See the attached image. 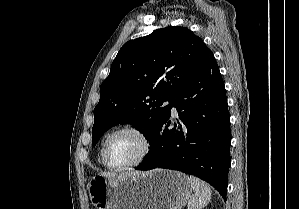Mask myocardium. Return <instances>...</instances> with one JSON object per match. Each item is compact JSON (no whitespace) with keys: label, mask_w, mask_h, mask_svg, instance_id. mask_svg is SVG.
I'll list each match as a JSON object with an SVG mask.
<instances>
[{"label":"myocardium","mask_w":299,"mask_h":209,"mask_svg":"<svg viewBox=\"0 0 299 209\" xmlns=\"http://www.w3.org/2000/svg\"><path fill=\"white\" fill-rule=\"evenodd\" d=\"M125 132L133 133L140 139V141L142 142V151H141L140 155L133 162L126 164V165H122V166H114V165L110 164V162L108 161L109 145H110L111 140L116 135H118L120 133H125ZM152 146H153L152 139L145 130H143L142 128L135 126V125L122 126L118 129H116L115 131H113L106 138L105 144L103 146V155H102L103 164L107 168L114 170V171H124V170H129V169L135 168V167L141 165L147 159V157L149 156V154L152 150Z\"/></svg>","instance_id":"f54148a6"}]
</instances>
